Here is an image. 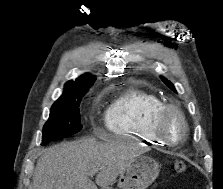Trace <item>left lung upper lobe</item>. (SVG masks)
<instances>
[{
  "mask_svg": "<svg viewBox=\"0 0 223 189\" xmlns=\"http://www.w3.org/2000/svg\"><path fill=\"white\" fill-rule=\"evenodd\" d=\"M161 79H162V81L171 89V90H173L174 92H176V90H175V88H174V86H173V84L171 83V82H169L167 79H165V78H163V77H161Z\"/></svg>",
  "mask_w": 223,
  "mask_h": 189,
  "instance_id": "5c2ea615",
  "label": "left lung upper lobe"
}]
</instances>
